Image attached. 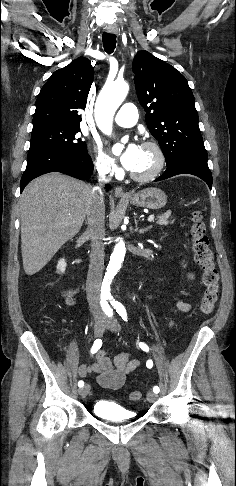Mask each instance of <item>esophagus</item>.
Instances as JSON below:
<instances>
[{
  "label": "esophagus",
  "mask_w": 236,
  "mask_h": 486,
  "mask_svg": "<svg viewBox=\"0 0 236 486\" xmlns=\"http://www.w3.org/2000/svg\"><path fill=\"white\" fill-rule=\"evenodd\" d=\"M107 31H108L109 33H112V34H115V35H117V34L119 33V31H118V29H117V28H112V27H109V28L107 29ZM114 194H115V196H117V197H128V196H129V194H128L127 192H125L121 186H117V187L115 188V190H114Z\"/></svg>",
  "instance_id": "obj_1"
}]
</instances>
